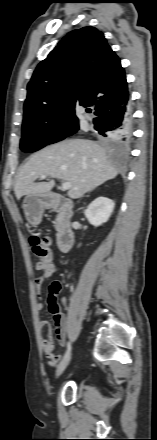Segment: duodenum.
Returning <instances> with one entry per match:
<instances>
[{"label":"duodenum","mask_w":157,"mask_h":440,"mask_svg":"<svg viewBox=\"0 0 157 440\" xmlns=\"http://www.w3.org/2000/svg\"><path fill=\"white\" fill-rule=\"evenodd\" d=\"M42 201L53 211L58 213L57 219V244L60 251L68 252L74 242V231L71 226L73 206L70 200L56 194H50Z\"/></svg>","instance_id":"410a0bca"}]
</instances>
